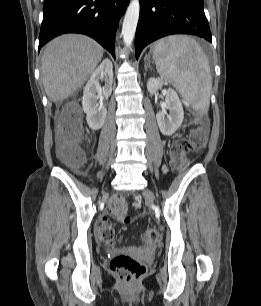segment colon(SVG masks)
Listing matches in <instances>:
<instances>
[{"mask_svg": "<svg viewBox=\"0 0 261 306\" xmlns=\"http://www.w3.org/2000/svg\"><path fill=\"white\" fill-rule=\"evenodd\" d=\"M82 119L76 107H65L57 119V139L59 157L71 167H79L84 161V151L80 145ZM206 131L203 124L192 130L188 136L180 137L171 144L170 157L174 167H183L188 163L191 151L204 146ZM111 209L116 218L128 224L131 221L127 205L121 198L111 202ZM101 241L109 248L113 247L115 231L108 220H103L99 228ZM159 233L154 227H149L142 234L145 245H153L158 240ZM110 270L126 284L138 281L146 271L145 265L128 254L115 255L110 262Z\"/></svg>", "mask_w": 261, "mask_h": 306, "instance_id": "1", "label": "colon"}]
</instances>
